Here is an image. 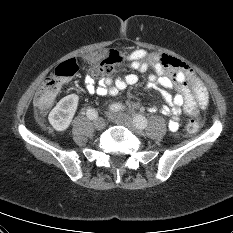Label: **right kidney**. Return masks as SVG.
<instances>
[{
	"label": "right kidney",
	"instance_id": "obj_1",
	"mask_svg": "<svg viewBox=\"0 0 233 233\" xmlns=\"http://www.w3.org/2000/svg\"><path fill=\"white\" fill-rule=\"evenodd\" d=\"M79 97L70 94L62 98L49 113V122L56 131H65L72 122L78 106Z\"/></svg>",
	"mask_w": 233,
	"mask_h": 233
}]
</instances>
